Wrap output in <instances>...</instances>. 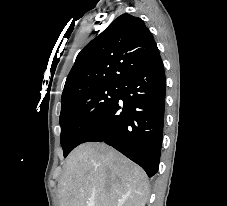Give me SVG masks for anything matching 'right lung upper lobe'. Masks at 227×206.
<instances>
[{"label": "right lung upper lobe", "instance_id": "cb5924a9", "mask_svg": "<svg viewBox=\"0 0 227 206\" xmlns=\"http://www.w3.org/2000/svg\"><path fill=\"white\" fill-rule=\"evenodd\" d=\"M158 57L159 50L144 22L122 14L78 54L66 79L62 100L95 86L121 84L130 73Z\"/></svg>", "mask_w": 227, "mask_h": 206}]
</instances>
